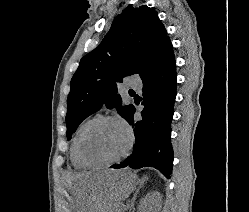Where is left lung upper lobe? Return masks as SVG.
<instances>
[{
	"label": "left lung upper lobe",
	"mask_w": 249,
	"mask_h": 212,
	"mask_svg": "<svg viewBox=\"0 0 249 212\" xmlns=\"http://www.w3.org/2000/svg\"><path fill=\"white\" fill-rule=\"evenodd\" d=\"M170 42L157 12L148 6H129L115 17L100 45L84 56L71 79L67 98V139L79 124L103 104L117 108L124 117L117 82L133 74L142 75Z\"/></svg>",
	"instance_id": "left-lung-upper-lobe-1"
}]
</instances>
